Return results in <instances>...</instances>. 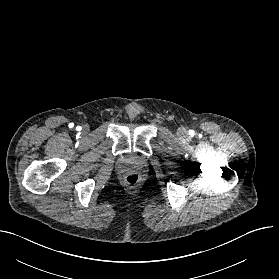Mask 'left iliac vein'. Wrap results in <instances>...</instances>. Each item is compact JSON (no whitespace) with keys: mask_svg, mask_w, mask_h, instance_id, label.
Here are the masks:
<instances>
[{"mask_svg":"<svg viewBox=\"0 0 279 279\" xmlns=\"http://www.w3.org/2000/svg\"><path fill=\"white\" fill-rule=\"evenodd\" d=\"M178 134H179L180 136H182V137H185L186 134H187V131H186L184 128H180V129L178 130Z\"/></svg>","mask_w":279,"mask_h":279,"instance_id":"4c4485c4","label":"left iliac vein"}]
</instances>
